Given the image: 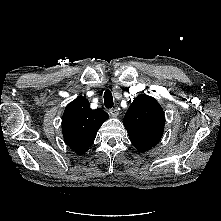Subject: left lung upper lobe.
Here are the masks:
<instances>
[{
  "label": "left lung upper lobe",
  "mask_w": 221,
  "mask_h": 221,
  "mask_svg": "<svg viewBox=\"0 0 221 221\" xmlns=\"http://www.w3.org/2000/svg\"><path fill=\"white\" fill-rule=\"evenodd\" d=\"M123 124L134 147L145 152L159 143L165 116L162 107L154 98L139 95L128 108Z\"/></svg>",
  "instance_id": "obj_1"
}]
</instances>
